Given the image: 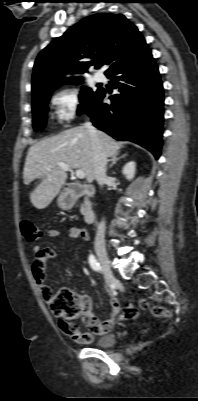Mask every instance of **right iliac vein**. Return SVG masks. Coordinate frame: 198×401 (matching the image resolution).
Masks as SVG:
<instances>
[{
    "mask_svg": "<svg viewBox=\"0 0 198 401\" xmlns=\"http://www.w3.org/2000/svg\"><path fill=\"white\" fill-rule=\"evenodd\" d=\"M96 253L105 277L106 284L107 286H110L114 279V275L110 267V262L106 250L103 247L99 246L96 248Z\"/></svg>",
    "mask_w": 198,
    "mask_h": 401,
    "instance_id": "1",
    "label": "right iliac vein"
}]
</instances>
